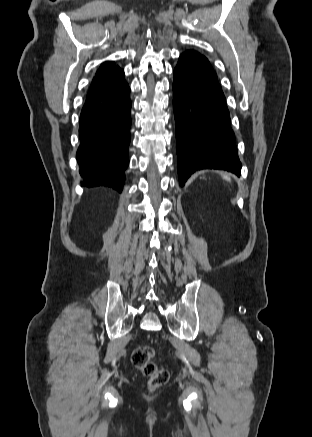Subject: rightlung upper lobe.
<instances>
[{
  "label": "right lung upper lobe",
  "mask_w": 312,
  "mask_h": 437,
  "mask_svg": "<svg viewBox=\"0 0 312 437\" xmlns=\"http://www.w3.org/2000/svg\"><path fill=\"white\" fill-rule=\"evenodd\" d=\"M123 73V70H121L113 62L103 63L96 72V76L92 81L89 93L109 85Z\"/></svg>",
  "instance_id": "obj_1"
}]
</instances>
